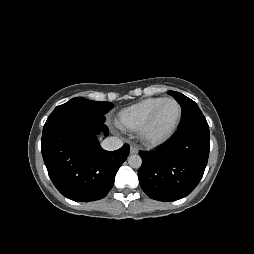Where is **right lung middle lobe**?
Returning <instances> with one entry per match:
<instances>
[{
  "mask_svg": "<svg viewBox=\"0 0 254 254\" xmlns=\"http://www.w3.org/2000/svg\"><path fill=\"white\" fill-rule=\"evenodd\" d=\"M113 108L111 102L90 101L82 97H76L55 109H74L87 113L104 115Z\"/></svg>",
  "mask_w": 254,
  "mask_h": 254,
  "instance_id": "dd1d6c3e",
  "label": "right lung middle lobe"
}]
</instances>
